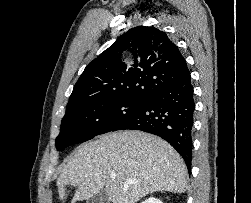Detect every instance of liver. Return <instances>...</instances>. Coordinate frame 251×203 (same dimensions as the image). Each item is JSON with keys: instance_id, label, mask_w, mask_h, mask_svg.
Returning <instances> with one entry per match:
<instances>
[{"instance_id": "6515ba94", "label": "liver", "mask_w": 251, "mask_h": 203, "mask_svg": "<svg viewBox=\"0 0 251 203\" xmlns=\"http://www.w3.org/2000/svg\"><path fill=\"white\" fill-rule=\"evenodd\" d=\"M186 184L187 169L176 150L140 131L107 133L79 146L57 180L60 200L66 199V186L77 187L74 202L104 189L112 203H137L154 192L183 193Z\"/></svg>"}]
</instances>
